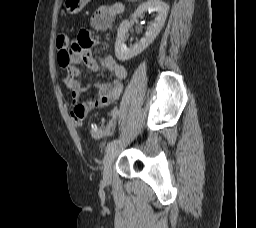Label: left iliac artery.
<instances>
[{
    "label": "left iliac artery",
    "instance_id": "obj_1",
    "mask_svg": "<svg viewBox=\"0 0 256 228\" xmlns=\"http://www.w3.org/2000/svg\"><path fill=\"white\" fill-rule=\"evenodd\" d=\"M117 143H119L118 139L112 140L107 144L106 149L109 150L111 147H113L114 145H116Z\"/></svg>",
    "mask_w": 256,
    "mask_h": 228
}]
</instances>
